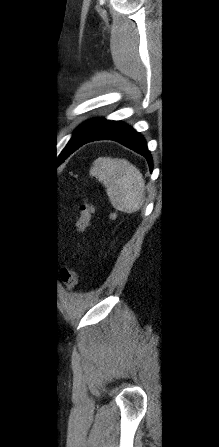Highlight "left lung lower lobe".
<instances>
[{
  "label": "left lung lower lobe",
  "instance_id": "1",
  "mask_svg": "<svg viewBox=\"0 0 219 447\" xmlns=\"http://www.w3.org/2000/svg\"><path fill=\"white\" fill-rule=\"evenodd\" d=\"M114 140L124 146L143 155L152 169V158L147 149V144L142 135L133 128L120 121H104L103 124L93 134L89 135L85 140L73 145L65 154L60 155L61 161H64L80 146L95 140Z\"/></svg>",
  "mask_w": 219,
  "mask_h": 447
}]
</instances>
